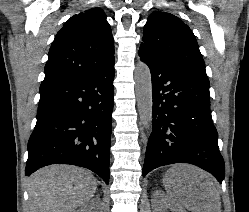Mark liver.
<instances>
[{
  "label": "liver",
  "mask_w": 249,
  "mask_h": 212,
  "mask_svg": "<svg viewBox=\"0 0 249 212\" xmlns=\"http://www.w3.org/2000/svg\"><path fill=\"white\" fill-rule=\"evenodd\" d=\"M168 184H173V208L185 206L189 212H221L220 194L207 172L175 164ZM95 178L88 170L76 166H46L28 180L31 212H75L92 200L96 192Z\"/></svg>",
  "instance_id": "obj_1"
}]
</instances>
